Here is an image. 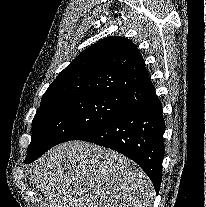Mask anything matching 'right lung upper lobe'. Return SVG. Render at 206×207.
Returning <instances> with one entry per match:
<instances>
[{
	"label": "right lung upper lobe",
	"instance_id": "obj_1",
	"mask_svg": "<svg viewBox=\"0 0 206 207\" xmlns=\"http://www.w3.org/2000/svg\"><path fill=\"white\" fill-rule=\"evenodd\" d=\"M148 77L137 47L124 37H107L84 50L52 82L41 103L55 99L126 93Z\"/></svg>",
	"mask_w": 206,
	"mask_h": 207
}]
</instances>
